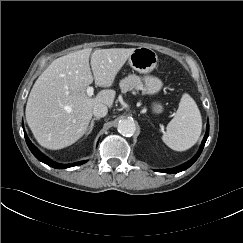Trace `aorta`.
Listing matches in <instances>:
<instances>
[{"mask_svg": "<svg viewBox=\"0 0 243 243\" xmlns=\"http://www.w3.org/2000/svg\"><path fill=\"white\" fill-rule=\"evenodd\" d=\"M118 132L126 137L132 136L136 131L135 122L130 119L121 120L118 124Z\"/></svg>", "mask_w": 243, "mask_h": 243, "instance_id": "aorta-1", "label": "aorta"}]
</instances>
